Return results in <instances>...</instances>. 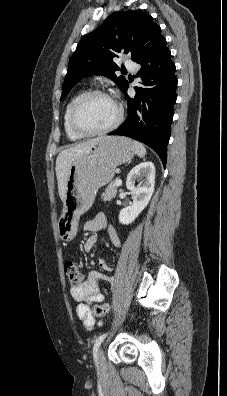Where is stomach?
Listing matches in <instances>:
<instances>
[{
	"label": "stomach",
	"instance_id": "0dacf381",
	"mask_svg": "<svg viewBox=\"0 0 227 396\" xmlns=\"http://www.w3.org/2000/svg\"><path fill=\"white\" fill-rule=\"evenodd\" d=\"M136 148L125 137H103L75 160L68 172L62 214L57 223L61 240H73L80 215L92 206L98 189L114 177L117 166L129 162Z\"/></svg>",
	"mask_w": 227,
	"mask_h": 396
}]
</instances>
